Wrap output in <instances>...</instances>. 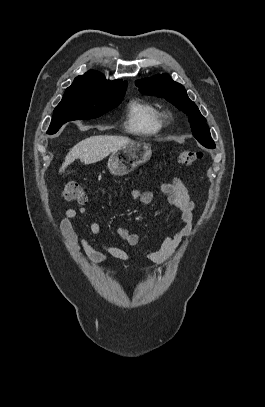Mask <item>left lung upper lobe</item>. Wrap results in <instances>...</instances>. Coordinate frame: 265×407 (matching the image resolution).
Masks as SVG:
<instances>
[{
    "label": "left lung upper lobe",
    "instance_id": "left-lung-upper-lobe-1",
    "mask_svg": "<svg viewBox=\"0 0 265 407\" xmlns=\"http://www.w3.org/2000/svg\"><path fill=\"white\" fill-rule=\"evenodd\" d=\"M136 86L139 87L141 93L165 98L183 111L188 116L193 136L198 142L207 148H215L206 119L196 104L189 99L184 86L173 81L168 74L138 80Z\"/></svg>",
    "mask_w": 265,
    "mask_h": 407
}]
</instances>
